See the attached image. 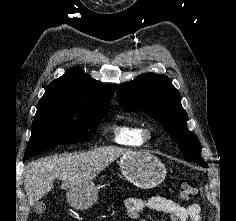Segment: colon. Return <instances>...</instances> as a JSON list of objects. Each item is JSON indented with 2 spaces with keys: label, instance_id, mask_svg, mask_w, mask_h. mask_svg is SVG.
<instances>
[{
  "label": "colon",
  "instance_id": "obj_1",
  "mask_svg": "<svg viewBox=\"0 0 236 221\" xmlns=\"http://www.w3.org/2000/svg\"><path fill=\"white\" fill-rule=\"evenodd\" d=\"M180 196L185 200L198 197L199 190L196 184L190 178H182L178 182Z\"/></svg>",
  "mask_w": 236,
  "mask_h": 221
}]
</instances>
